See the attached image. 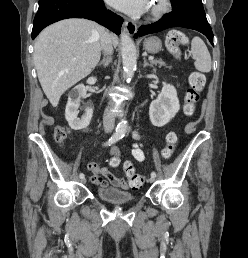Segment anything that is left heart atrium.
I'll list each match as a JSON object with an SVG mask.
<instances>
[{"mask_svg":"<svg viewBox=\"0 0 248 258\" xmlns=\"http://www.w3.org/2000/svg\"><path fill=\"white\" fill-rule=\"evenodd\" d=\"M107 2L133 16H139L143 14L150 6V0H107Z\"/></svg>","mask_w":248,"mask_h":258,"instance_id":"obj_1","label":"left heart atrium"}]
</instances>
